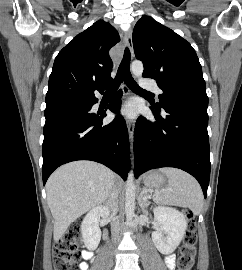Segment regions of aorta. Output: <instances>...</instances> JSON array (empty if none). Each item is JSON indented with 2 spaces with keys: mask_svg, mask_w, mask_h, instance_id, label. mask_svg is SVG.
Wrapping results in <instances>:
<instances>
[{
  "mask_svg": "<svg viewBox=\"0 0 242 270\" xmlns=\"http://www.w3.org/2000/svg\"><path fill=\"white\" fill-rule=\"evenodd\" d=\"M144 67L141 61H133L131 65V71L134 77H141ZM135 184H134V173L129 171L127 183H126V192H125V214L126 222L128 225H132V220L134 217L135 210Z\"/></svg>",
  "mask_w": 242,
  "mask_h": 270,
  "instance_id": "aorta-1",
  "label": "aorta"
}]
</instances>
